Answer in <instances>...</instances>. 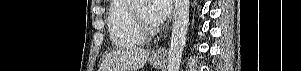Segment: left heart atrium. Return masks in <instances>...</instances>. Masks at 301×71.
Instances as JSON below:
<instances>
[{
  "instance_id": "obj_1",
  "label": "left heart atrium",
  "mask_w": 301,
  "mask_h": 71,
  "mask_svg": "<svg viewBox=\"0 0 301 71\" xmlns=\"http://www.w3.org/2000/svg\"><path fill=\"white\" fill-rule=\"evenodd\" d=\"M149 16L154 24L163 23L171 12V0H150Z\"/></svg>"
}]
</instances>
